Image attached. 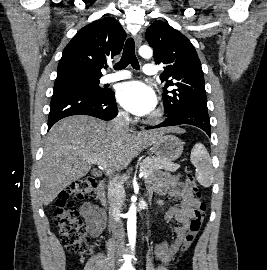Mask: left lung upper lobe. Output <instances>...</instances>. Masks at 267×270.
I'll return each instance as SVG.
<instances>
[{
  "label": "left lung upper lobe",
  "instance_id": "5c2ea615",
  "mask_svg": "<svg viewBox=\"0 0 267 270\" xmlns=\"http://www.w3.org/2000/svg\"><path fill=\"white\" fill-rule=\"evenodd\" d=\"M146 38L154 50L156 64L164 65L161 81H166L162 98L165 113L186 109L208 111L205 82L197 52L178 30L157 21L146 30ZM173 90H166L167 87Z\"/></svg>",
  "mask_w": 267,
  "mask_h": 270
}]
</instances>
